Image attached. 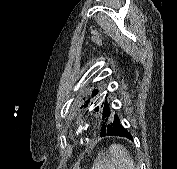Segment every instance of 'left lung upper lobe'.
<instances>
[{
    "instance_id": "left-lung-upper-lobe-1",
    "label": "left lung upper lobe",
    "mask_w": 177,
    "mask_h": 169,
    "mask_svg": "<svg viewBox=\"0 0 177 169\" xmlns=\"http://www.w3.org/2000/svg\"><path fill=\"white\" fill-rule=\"evenodd\" d=\"M98 93V89H94L92 91V96L89 97L87 100L86 98L84 97L83 100H85V103L84 104V107L87 106L89 103H93V100H94V97L97 95ZM110 116V110H109V107L107 105V102H105V106H104V110H103V118H106V122L102 124V127H101V134H103L106 130V128L112 123V120H108V117Z\"/></svg>"
}]
</instances>
